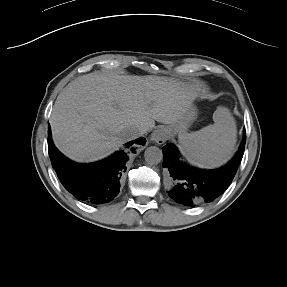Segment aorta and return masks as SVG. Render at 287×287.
Masks as SVG:
<instances>
[{
	"label": "aorta",
	"mask_w": 287,
	"mask_h": 287,
	"mask_svg": "<svg viewBox=\"0 0 287 287\" xmlns=\"http://www.w3.org/2000/svg\"><path fill=\"white\" fill-rule=\"evenodd\" d=\"M144 158L148 164L157 165L163 159L162 150L156 146H150L145 150Z\"/></svg>",
	"instance_id": "762f6f07"
}]
</instances>
